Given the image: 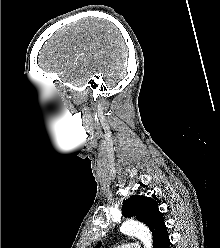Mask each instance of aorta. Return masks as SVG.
Listing matches in <instances>:
<instances>
[{
	"instance_id": "762f6f07",
	"label": "aorta",
	"mask_w": 220,
	"mask_h": 248,
	"mask_svg": "<svg viewBox=\"0 0 220 248\" xmlns=\"http://www.w3.org/2000/svg\"><path fill=\"white\" fill-rule=\"evenodd\" d=\"M120 232L125 235L136 236L142 241L144 248H152V234L144 224L134 220H127L121 225Z\"/></svg>"
}]
</instances>
